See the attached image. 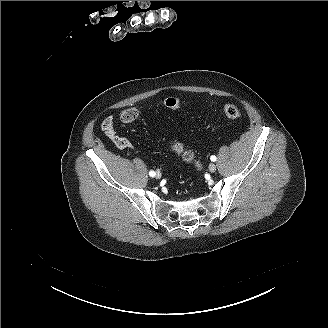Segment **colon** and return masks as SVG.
<instances>
[{
	"mask_svg": "<svg viewBox=\"0 0 328 328\" xmlns=\"http://www.w3.org/2000/svg\"><path fill=\"white\" fill-rule=\"evenodd\" d=\"M162 104L170 109L177 110L180 108V101L175 97L166 98ZM223 113L229 119H237L240 117L241 113L239 108L234 104H226L223 107ZM140 115V111L136 107H131L125 109L120 114V121L123 124H129L136 120ZM169 148L177 153L184 161L193 163L197 169H201L200 163L196 160L194 153L186 149L182 143L177 141H171L169 143Z\"/></svg>",
	"mask_w": 328,
	"mask_h": 328,
	"instance_id": "5ec220e1",
	"label": "colon"
}]
</instances>
